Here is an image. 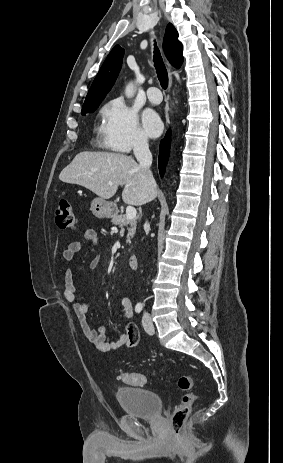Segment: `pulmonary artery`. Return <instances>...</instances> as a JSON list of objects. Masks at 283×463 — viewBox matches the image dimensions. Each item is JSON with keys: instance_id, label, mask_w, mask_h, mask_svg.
Masks as SVG:
<instances>
[{"instance_id": "obj_1", "label": "pulmonary artery", "mask_w": 283, "mask_h": 463, "mask_svg": "<svg viewBox=\"0 0 283 463\" xmlns=\"http://www.w3.org/2000/svg\"><path fill=\"white\" fill-rule=\"evenodd\" d=\"M148 100L153 104H159L162 100L161 93L157 87H150L146 91Z\"/></svg>"}]
</instances>
